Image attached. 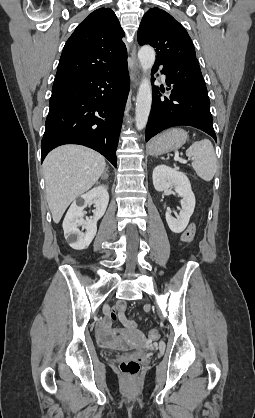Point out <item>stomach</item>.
Here are the masks:
<instances>
[{
    "mask_svg": "<svg viewBox=\"0 0 255 418\" xmlns=\"http://www.w3.org/2000/svg\"><path fill=\"white\" fill-rule=\"evenodd\" d=\"M188 139L184 129L172 128L154 137L148 144V151L151 155H161L175 151L182 147Z\"/></svg>",
    "mask_w": 255,
    "mask_h": 418,
    "instance_id": "obj_1",
    "label": "stomach"
}]
</instances>
